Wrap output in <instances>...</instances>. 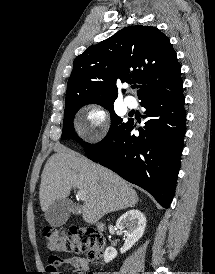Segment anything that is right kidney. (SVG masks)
Here are the masks:
<instances>
[{
  "instance_id": "ca27d5eb",
  "label": "right kidney",
  "mask_w": 215,
  "mask_h": 274,
  "mask_svg": "<svg viewBox=\"0 0 215 274\" xmlns=\"http://www.w3.org/2000/svg\"><path fill=\"white\" fill-rule=\"evenodd\" d=\"M116 227L124 230L126 240L120 252L125 253L143 236L146 227V217L139 210H129L117 220ZM116 256V249L109 246L105 250L104 261L109 263Z\"/></svg>"
}]
</instances>
